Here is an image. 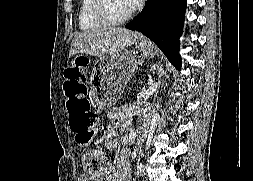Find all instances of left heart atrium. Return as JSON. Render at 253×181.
<instances>
[{"mask_svg":"<svg viewBox=\"0 0 253 181\" xmlns=\"http://www.w3.org/2000/svg\"><path fill=\"white\" fill-rule=\"evenodd\" d=\"M130 10H136L138 9L142 3L143 0H125Z\"/></svg>","mask_w":253,"mask_h":181,"instance_id":"left-heart-atrium-1","label":"left heart atrium"}]
</instances>
